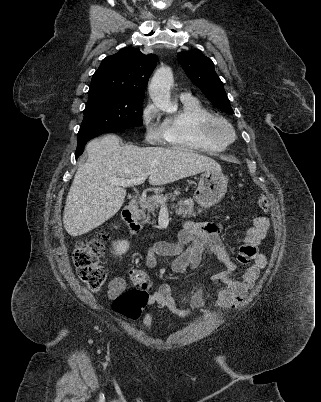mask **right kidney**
Returning <instances> with one entry per match:
<instances>
[{"instance_id": "right-kidney-1", "label": "right kidney", "mask_w": 321, "mask_h": 402, "mask_svg": "<svg viewBox=\"0 0 321 402\" xmlns=\"http://www.w3.org/2000/svg\"><path fill=\"white\" fill-rule=\"evenodd\" d=\"M113 247H114V253L116 255H122L128 251L129 243L128 241L125 240L117 241L113 243Z\"/></svg>"}]
</instances>
